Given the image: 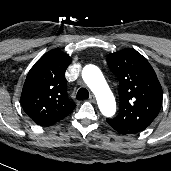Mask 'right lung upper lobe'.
I'll return each instance as SVG.
<instances>
[{"instance_id":"1","label":"right lung upper lobe","mask_w":171,"mask_h":171,"mask_svg":"<svg viewBox=\"0 0 171 171\" xmlns=\"http://www.w3.org/2000/svg\"><path fill=\"white\" fill-rule=\"evenodd\" d=\"M70 63L69 55L54 49L45 53L29 71L21 105L37 125H53L74 110L75 104L67 96L64 75Z\"/></svg>"}]
</instances>
